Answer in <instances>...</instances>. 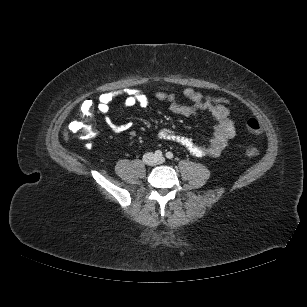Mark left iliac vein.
I'll return each mask as SVG.
<instances>
[{
    "mask_svg": "<svg viewBox=\"0 0 307 307\" xmlns=\"http://www.w3.org/2000/svg\"><path fill=\"white\" fill-rule=\"evenodd\" d=\"M164 161H165V159H164L163 157H161V158H159V159L157 160L158 163H163Z\"/></svg>",
    "mask_w": 307,
    "mask_h": 307,
    "instance_id": "1",
    "label": "left iliac vein"
}]
</instances>
